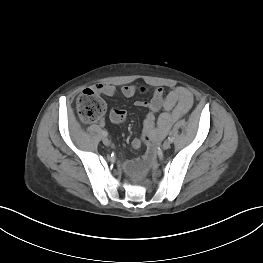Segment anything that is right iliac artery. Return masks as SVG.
<instances>
[{
  "label": "right iliac artery",
  "mask_w": 263,
  "mask_h": 263,
  "mask_svg": "<svg viewBox=\"0 0 263 263\" xmlns=\"http://www.w3.org/2000/svg\"><path fill=\"white\" fill-rule=\"evenodd\" d=\"M102 134H103L104 137H107V136H108V133H107V131H105V130L102 131Z\"/></svg>",
  "instance_id": "1"
}]
</instances>
